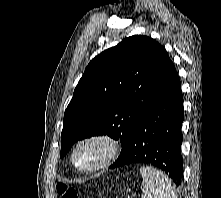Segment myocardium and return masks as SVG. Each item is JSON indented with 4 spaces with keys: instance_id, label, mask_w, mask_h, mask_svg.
<instances>
[{
    "instance_id": "f54148a6",
    "label": "myocardium",
    "mask_w": 221,
    "mask_h": 198,
    "mask_svg": "<svg viewBox=\"0 0 221 198\" xmlns=\"http://www.w3.org/2000/svg\"><path fill=\"white\" fill-rule=\"evenodd\" d=\"M90 143L101 144L104 147V154L101 160L97 164L91 167H82L78 165L76 162V154L83 145ZM119 151H120V144L114 136L108 133H101V132L92 133L83 136L75 143L71 151V162L74 165V167L82 173H95L108 167L116 159V157L119 154Z\"/></svg>"
}]
</instances>
